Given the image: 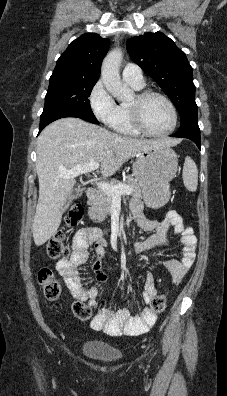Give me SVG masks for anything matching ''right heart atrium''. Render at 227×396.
<instances>
[{
  "label": "right heart atrium",
  "instance_id": "obj_1",
  "mask_svg": "<svg viewBox=\"0 0 227 396\" xmlns=\"http://www.w3.org/2000/svg\"><path fill=\"white\" fill-rule=\"evenodd\" d=\"M88 100L94 116L101 122L109 124L116 113L117 104L101 80L93 85Z\"/></svg>",
  "mask_w": 227,
  "mask_h": 396
}]
</instances>
